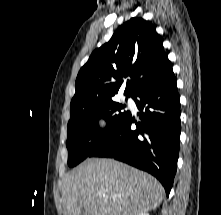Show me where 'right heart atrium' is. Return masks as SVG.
I'll list each match as a JSON object with an SVG mask.
<instances>
[{
    "instance_id": "obj_1",
    "label": "right heart atrium",
    "mask_w": 221,
    "mask_h": 215,
    "mask_svg": "<svg viewBox=\"0 0 221 215\" xmlns=\"http://www.w3.org/2000/svg\"><path fill=\"white\" fill-rule=\"evenodd\" d=\"M107 126V121L104 117H99L96 120V127L100 130L105 129Z\"/></svg>"
}]
</instances>
